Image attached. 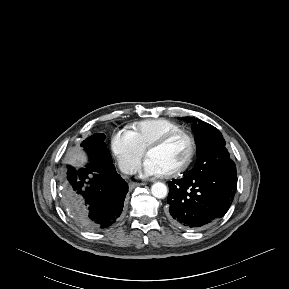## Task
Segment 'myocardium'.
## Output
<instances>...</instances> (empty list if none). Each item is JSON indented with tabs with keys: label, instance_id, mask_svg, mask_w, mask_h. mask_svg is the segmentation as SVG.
I'll return each instance as SVG.
<instances>
[{
	"label": "myocardium",
	"instance_id": "f54148a6",
	"mask_svg": "<svg viewBox=\"0 0 289 289\" xmlns=\"http://www.w3.org/2000/svg\"><path fill=\"white\" fill-rule=\"evenodd\" d=\"M179 137H185L188 140L190 146L189 153L184 162L180 166L164 174L166 177L178 176L189 168V166L194 160L197 151V142L195 137L185 130H178L164 135L163 137L159 138L158 140L150 144L146 149V156H148V154L151 151L162 148Z\"/></svg>",
	"mask_w": 289,
	"mask_h": 289
}]
</instances>
